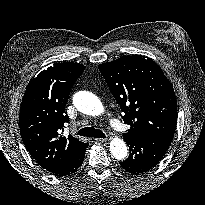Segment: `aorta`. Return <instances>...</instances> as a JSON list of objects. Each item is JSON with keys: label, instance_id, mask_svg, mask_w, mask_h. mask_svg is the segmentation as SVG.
<instances>
[{"label": "aorta", "instance_id": "obj_1", "mask_svg": "<svg viewBox=\"0 0 205 205\" xmlns=\"http://www.w3.org/2000/svg\"><path fill=\"white\" fill-rule=\"evenodd\" d=\"M73 104L83 114L99 116L104 108L99 98L91 92L79 91L73 96ZM112 156L117 160H124L128 155L125 142L120 138H113L109 146Z\"/></svg>", "mask_w": 205, "mask_h": 205}]
</instances>
